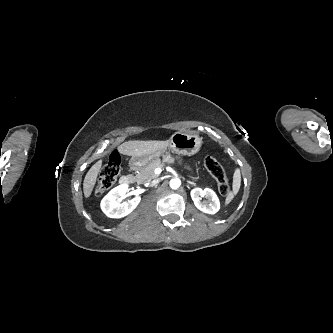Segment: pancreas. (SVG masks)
Masks as SVG:
<instances>
[{"label":"pancreas","mask_w":333,"mask_h":333,"mask_svg":"<svg viewBox=\"0 0 333 333\" xmlns=\"http://www.w3.org/2000/svg\"><path fill=\"white\" fill-rule=\"evenodd\" d=\"M178 161L179 164L182 163L180 157H173L171 154L167 153L163 156V159L157 158L151 161L149 164L140 169V172L136 175V180L138 183H146L157 178V174L154 173V169L157 167H163L165 164H174L175 161Z\"/></svg>","instance_id":"pancreas-1"}]
</instances>
